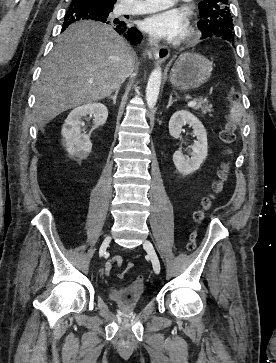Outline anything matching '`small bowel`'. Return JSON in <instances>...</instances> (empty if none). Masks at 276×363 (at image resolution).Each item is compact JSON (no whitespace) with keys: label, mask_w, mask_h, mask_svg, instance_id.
<instances>
[{"label":"small bowel","mask_w":276,"mask_h":363,"mask_svg":"<svg viewBox=\"0 0 276 363\" xmlns=\"http://www.w3.org/2000/svg\"><path fill=\"white\" fill-rule=\"evenodd\" d=\"M122 257L119 255L111 257L105 264V274H109L113 268V266H121L122 265Z\"/></svg>","instance_id":"c3829d8e"}]
</instances>
